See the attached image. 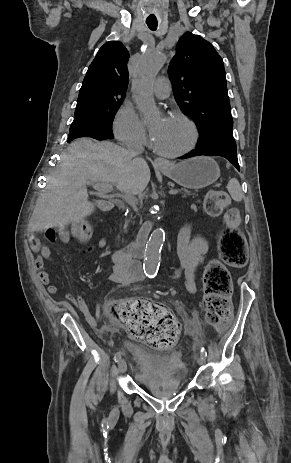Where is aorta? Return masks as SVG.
<instances>
[{
	"label": "aorta",
	"mask_w": 291,
	"mask_h": 463,
	"mask_svg": "<svg viewBox=\"0 0 291 463\" xmlns=\"http://www.w3.org/2000/svg\"><path fill=\"white\" fill-rule=\"evenodd\" d=\"M166 62V57L161 53L151 50L147 51L141 58L136 67L132 81L133 98L137 109L145 116L150 117L156 111L153 98V85L155 78ZM165 232L161 228H156L147 243L144 272L149 276L157 273L160 265V252L164 243Z\"/></svg>",
	"instance_id": "aorta-1"
}]
</instances>
